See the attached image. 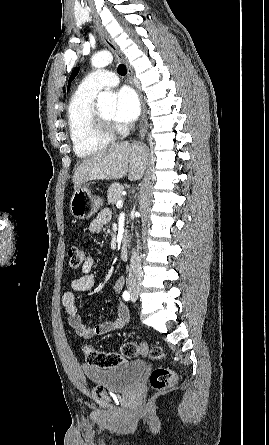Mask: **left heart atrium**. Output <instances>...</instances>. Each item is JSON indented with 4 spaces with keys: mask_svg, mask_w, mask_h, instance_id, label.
<instances>
[{
    "mask_svg": "<svg viewBox=\"0 0 269 445\" xmlns=\"http://www.w3.org/2000/svg\"><path fill=\"white\" fill-rule=\"evenodd\" d=\"M140 102L137 94L129 87H122L116 93L114 118L121 123H131L138 117Z\"/></svg>",
    "mask_w": 269,
    "mask_h": 445,
    "instance_id": "39dd6f15",
    "label": "left heart atrium"
}]
</instances>
